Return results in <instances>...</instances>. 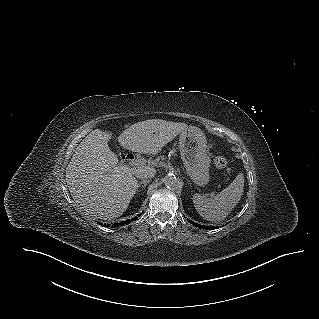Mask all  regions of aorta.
Segmentation results:
<instances>
[{"label": "aorta", "mask_w": 319, "mask_h": 319, "mask_svg": "<svg viewBox=\"0 0 319 319\" xmlns=\"http://www.w3.org/2000/svg\"><path fill=\"white\" fill-rule=\"evenodd\" d=\"M163 181L165 186L172 190H176L181 186L180 180L174 174H168Z\"/></svg>", "instance_id": "aorta-1"}]
</instances>
